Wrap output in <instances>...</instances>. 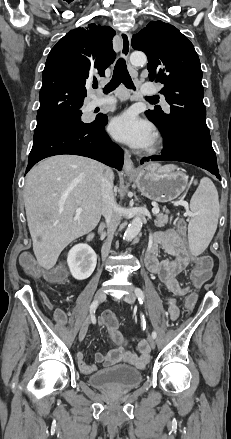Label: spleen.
<instances>
[{
  "instance_id": "spleen-1",
  "label": "spleen",
  "mask_w": 231,
  "mask_h": 439,
  "mask_svg": "<svg viewBox=\"0 0 231 439\" xmlns=\"http://www.w3.org/2000/svg\"><path fill=\"white\" fill-rule=\"evenodd\" d=\"M177 167L167 165L164 171L174 170ZM190 208L194 213L188 225V241L191 253L200 255L208 247L217 229L219 218L218 192L213 182L204 177L193 194Z\"/></svg>"
}]
</instances>
